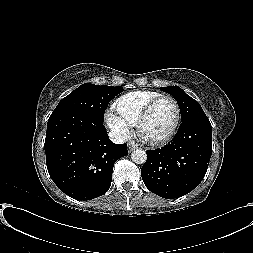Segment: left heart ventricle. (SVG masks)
<instances>
[{
    "instance_id": "1",
    "label": "left heart ventricle",
    "mask_w": 253,
    "mask_h": 253,
    "mask_svg": "<svg viewBox=\"0 0 253 253\" xmlns=\"http://www.w3.org/2000/svg\"><path fill=\"white\" fill-rule=\"evenodd\" d=\"M176 111L170 100L161 101L153 110L142 128V134L149 139L164 137L173 127Z\"/></svg>"
}]
</instances>
